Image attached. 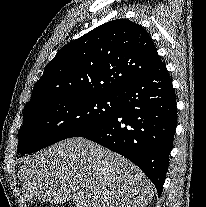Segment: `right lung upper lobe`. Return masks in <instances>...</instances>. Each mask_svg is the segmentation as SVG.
Returning <instances> with one entry per match:
<instances>
[{
    "mask_svg": "<svg viewBox=\"0 0 206 207\" xmlns=\"http://www.w3.org/2000/svg\"><path fill=\"white\" fill-rule=\"evenodd\" d=\"M159 60L141 25L125 19L107 22L58 51L24 109L58 98L119 95Z\"/></svg>",
    "mask_w": 206,
    "mask_h": 207,
    "instance_id": "1",
    "label": "right lung upper lobe"
}]
</instances>
